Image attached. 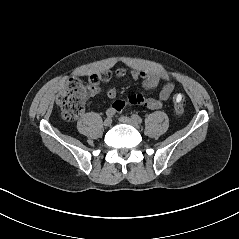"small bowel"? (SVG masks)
<instances>
[{
	"label": "small bowel",
	"mask_w": 239,
	"mask_h": 239,
	"mask_svg": "<svg viewBox=\"0 0 239 239\" xmlns=\"http://www.w3.org/2000/svg\"><path fill=\"white\" fill-rule=\"evenodd\" d=\"M104 74L106 75L105 77ZM126 74L127 70L125 68H118L113 74L111 72H103L101 74L91 75L89 77V81L93 79L95 84L92 86L90 95L93 96L100 92V82L109 81L112 75H114L116 78H122ZM130 75L134 80H141L142 87L146 90L157 87L160 82H164L165 84L156 98H144L141 95L133 93L129 96L127 102L123 100H116L112 105V109L115 111V113L121 112L127 106V104L141 105L151 110H158L162 107L163 102L170 98L175 88L174 84L170 81V78L166 73L132 70ZM107 96L110 99H115L117 96L116 90L114 88L109 89Z\"/></svg>",
	"instance_id": "small-bowel-1"
}]
</instances>
